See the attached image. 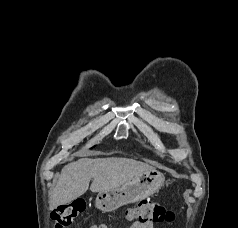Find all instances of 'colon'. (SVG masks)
I'll return each mask as SVG.
<instances>
[{
	"label": "colon",
	"instance_id": "1",
	"mask_svg": "<svg viewBox=\"0 0 238 228\" xmlns=\"http://www.w3.org/2000/svg\"><path fill=\"white\" fill-rule=\"evenodd\" d=\"M85 210V203L80 200L58 206L51 213L52 228H69L73 221ZM126 217L141 224H163L171 222L174 214L163 205L148 200L126 212ZM89 228H103V226H91Z\"/></svg>",
	"mask_w": 238,
	"mask_h": 228
}]
</instances>
